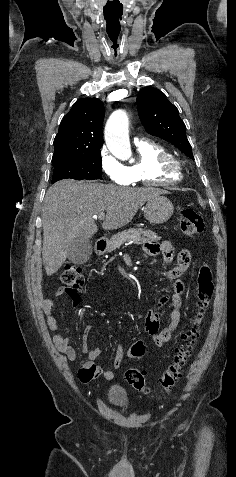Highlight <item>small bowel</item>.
Returning <instances> with one entry per match:
<instances>
[{
  "mask_svg": "<svg viewBox=\"0 0 236 477\" xmlns=\"http://www.w3.org/2000/svg\"><path fill=\"white\" fill-rule=\"evenodd\" d=\"M146 254L150 256L160 255L166 263L172 262L175 249L170 241H163L161 243L148 242L144 246ZM191 254L187 249L181 250L177 255V264L174 268L165 272V277L173 281V290L171 294L164 296L160 301V306L170 303L172 310L169 313L168 322L166 326L160 329L159 317L156 312L149 311L144 322V329L153 338V343L156 347H163L170 339L173 332L180 324L182 314V296L185 291L183 283L179 277L185 274L190 266ZM65 294L64 289L60 288L55 292V297H61ZM73 306L80 302V297L77 294H69ZM54 299H44L41 303V309L46 316V321L49 329L53 332L52 339L56 348L63 353L69 360L74 361L78 359V352L73 348L69 339L64 335L57 333L58 322L54 316ZM93 331V326L88 325L84 328L82 335V351L85 354V360L80 361V369L78 371V378L82 383H88L96 378H103L112 380L114 373L111 370H105L94 363L95 359L101 354V349L89 347V337ZM125 349L118 345L115 349L113 358V366L120 368L123 362Z\"/></svg>",
  "mask_w": 236,
  "mask_h": 477,
  "instance_id": "obj_1",
  "label": "small bowel"
}]
</instances>
